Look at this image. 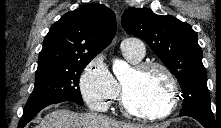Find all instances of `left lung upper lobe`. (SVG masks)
<instances>
[{"instance_id":"5c2ea615","label":"left lung upper lobe","mask_w":221,"mask_h":128,"mask_svg":"<svg viewBox=\"0 0 221 128\" xmlns=\"http://www.w3.org/2000/svg\"><path fill=\"white\" fill-rule=\"evenodd\" d=\"M122 26L128 34L143 39L177 78L183 93L180 114H213L202 49L189 24L148 8H130L122 15Z\"/></svg>"}]
</instances>
